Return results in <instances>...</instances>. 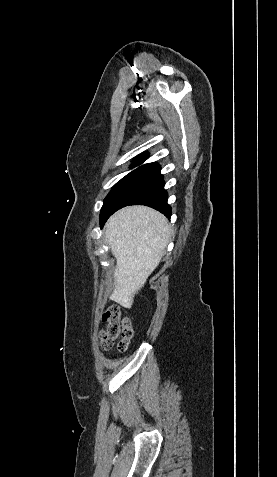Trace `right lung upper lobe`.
<instances>
[{"label":"right lung upper lobe","instance_id":"1","mask_svg":"<svg viewBox=\"0 0 277 477\" xmlns=\"http://www.w3.org/2000/svg\"><path fill=\"white\" fill-rule=\"evenodd\" d=\"M147 158H148V154H141V155L138 156L137 159L134 161V163L132 164V167L141 165ZM140 167L160 169V166H159L157 163H148V164H144V165H142V166H140Z\"/></svg>","mask_w":277,"mask_h":477}]
</instances>
